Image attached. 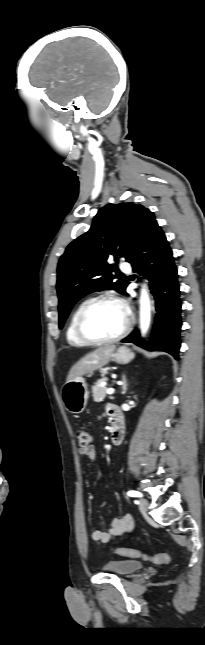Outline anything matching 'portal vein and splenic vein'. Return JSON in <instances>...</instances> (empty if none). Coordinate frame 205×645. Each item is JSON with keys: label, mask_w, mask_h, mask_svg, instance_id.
<instances>
[{"label": "portal vein and splenic vein", "mask_w": 205, "mask_h": 645, "mask_svg": "<svg viewBox=\"0 0 205 645\" xmlns=\"http://www.w3.org/2000/svg\"><path fill=\"white\" fill-rule=\"evenodd\" d=\"M114 392H115V389H114V388H109V389H107V391H106V393H107V394H110V395H111V394H113Z\"/></svg>", "instance_id": "portal-vein-and-splenic-vein-1"}]
</instances>
